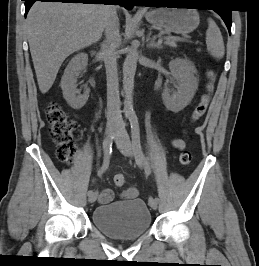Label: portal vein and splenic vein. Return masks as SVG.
Listing matches in <instances>:
<instances>
[{"label":"portal vein and splenic vein","mask_w":259,"mask_h":266,"mask_svg":"<svg viewBox=\"0 0 259 266\" xmlns=\"http://www.w3.org/2000/svg\"><path fill=\"white\" fill-rule=\"evenodd\" d=\"M164 39L167 40H172V41H185V39L179 38V37H174V36H168V37H164Z\"/></svg>","instance_id":"1"}]
</instances>
